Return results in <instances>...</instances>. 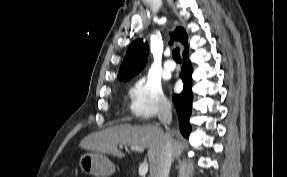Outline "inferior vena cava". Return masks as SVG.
I'll list each match as a JSON object with an SVG mask.
<instances>
[{"label":"inferior vena cava","mask_w":287,"mask_h":177,"mask_svg":"<svg viewBox=\"0 0 287 177\" xmlns=\"http://www.w3.org/2000/svg\"><path fill=\"white\" fill-rule=\"evenodd\" d=\"M158 118L165 125L167 130H169L167 125H169L172 121V108L169 102L163 105V107L161 108L158 114ZM165 136L167 140L165 142L162 156L160 158L157 170L154 173V177H168L169 176V171H170L171 162L173 158L172 138L169 132H166Z\"/></svg>","instance_id":"602c4592"}]
</instances>
